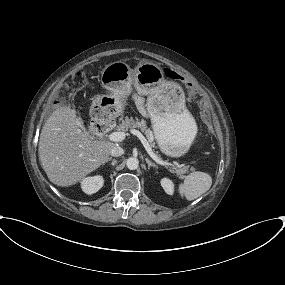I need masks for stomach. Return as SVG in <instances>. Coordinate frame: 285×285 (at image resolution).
I'll use <instances>...</instances> for the list:
<instances>
[{
  "instance_id": "stomach-1",
  "label": "stomach",
  "mask_w": 285,
  "mask_h": 285,
  "mask_svg": "<svg viewBox=\"0 0 285 285\" xmlns=\"http://www.w3.org/2000/svg\"><path fill=\"white\" fill-rule=\"evenodd\" d=\"M101 82L109 94L94 99L90 108L94 122L106 124L122 115L124 99L134 87L138 94L147 96L146 107L161 152L180 157L189 150L196 123L185 107L183 89L167 81L159 65L143 61L131 69L125 62L116 61L105 66Z\"/></svg>"
}]
</instances>
